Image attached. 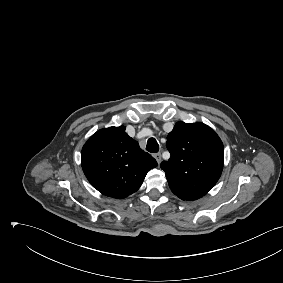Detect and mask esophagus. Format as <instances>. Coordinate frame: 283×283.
I'll list each match as a JSON object with an SVG mask.
<instances>
[{"instance_id": "34e87169", "label": "esophagus", "mask_w": 283, "mask_h": 283, "mask_svg": "<svg viewBox=\"0 0 283 283\" xmlns=\"http://www.w3.org/2000/svg\"><path fill=\"white\" fill-rule=\"evenodd\" d=\"M154 158L156 159V161H157L158 163H160L161 160H162V158H161V153H156V154H154Z\"/></svg>"}]
</instances>
